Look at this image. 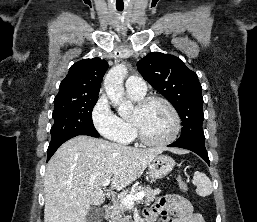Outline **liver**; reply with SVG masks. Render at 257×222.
I'll use <instances>...</instances> for the list:
<instances>
[{
	"label": "liver",
	"mask_w": 257,
	"mask_h": 222,
	"mask_svg": "<svg viewBox=\"0 0 257 222\" xmlns=\"http://www.w3.org/2000/svg\"><path fill=\"white\" fill-rule=\"evenodd\" d=\"M164 150L137 149L84 135L66 141L46 167L44 222H86L91 205L105 200L104 180L122 190Z\"/></svg>",
	"instance_id": "6515ba94"
}]
</instances>
